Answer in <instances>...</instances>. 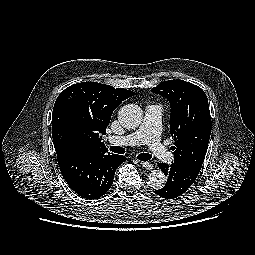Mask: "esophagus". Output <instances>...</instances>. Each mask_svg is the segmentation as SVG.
I'll return each instance as SVG.
<instances>
[{
    "mask_svg": "<svg viewBox=\"0 0 255 255\" xmlns=\"http://www.w3.org/2000/svg\"><path fill=\"white\" fill-rule=\"evenodd\" d=\"M140 164H141V166H142L143 168L148 169V170H150V169L153 168V164L150 163V162H145V161H143V162H141Z\"/></svg>",
    "mask_w": 255,
    "mask_h": 255,
    "instance_id": "esophagus-1",
    "label": "esophagus"
}]
</instances>
